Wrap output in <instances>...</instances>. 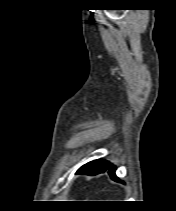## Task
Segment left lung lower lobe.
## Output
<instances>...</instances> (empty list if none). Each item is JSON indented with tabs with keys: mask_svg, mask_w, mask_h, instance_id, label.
Listing matches in <instances>:
<instances>
[{
	"mask_svg": "<svg viewBox=\"0 0 176 211\" xmlns=\"http://www.w3.org/2000/svg\"><path fill=\"white\" fill-rule=\"evenodd\" d=\"M115 169L116 167L114 165H111L109 162L106 160H94L91 161L85 165H83L77 173L79 174H88V175H96L99 173H103L106 170L109 171L110 176L120 182V180L116 177L115 175Z\"/></svg>",
	"mask_w": 176,
	"mask_h": 211,
	"instance_id": "obj_1",
	"label": "left lung lower lobe"
}]
</instances>
